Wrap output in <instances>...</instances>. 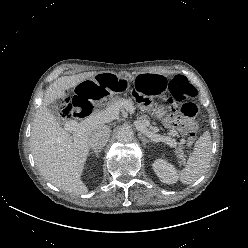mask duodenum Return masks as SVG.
Here are the masks:
<instances>
[{"instance_id":"410a0bca","label":"duodenum","mask_w":248,"mask_h":248,"mask_svg":"<svg viewBox=\"0 0 248 248\" xmlns=\"http://www.w3.org/2000/svg\"><path fill=\"white\" fill-rule=\"evenodd\" d=\"M77 110L80 114V117H87L93 110V106L91 104L88 105H79Z\"/></svg>"}]
</instances>
